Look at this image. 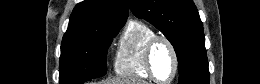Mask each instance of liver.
<instances>
[{
  "label": "liver",
  "mask_w": 260,
  "mask_h": 84,
  "mask_svg": "<svg viewBox=\"0 0 260 84\" xmlns=\"http://www.w3.org/2000/svg\"><path fill=\"white\" fill-rule=\"evenodd\" d=\"M138 81L135 80H129V79H116V80H112V81H106L102 84H147L144 81H141L140 83H136Z\"/></svg>",
  "instance_id": "obj_1"
}]
</instances>
